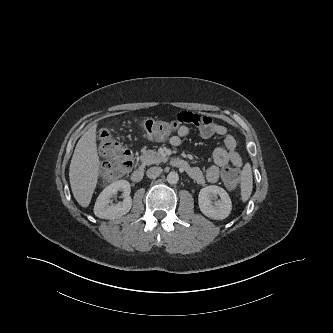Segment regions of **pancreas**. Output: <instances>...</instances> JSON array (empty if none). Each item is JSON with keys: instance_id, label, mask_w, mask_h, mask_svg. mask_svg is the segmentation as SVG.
<instances>
[{"instance_id": "pancreas-1", "label": "pancreas", "mask_w": 333, "mask_h": 333, "mask_svg": "<svg viewBox=\"0 0 333 333\" xmlns=\"http://www.w3.org/2000/svg\"><path fill=\"white\" fill-rule=\"evenodd\" d=\"M140 160L142 161L143 165H152L158 164L160 162H166L168 158L154 150H147L143 151L142 155L140 156Z\"/></svg>"}]
</instances>
